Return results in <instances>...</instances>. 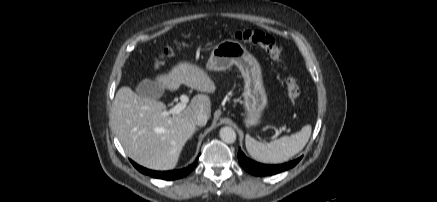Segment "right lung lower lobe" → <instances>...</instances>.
Wrapping results in <instances>:
<instances>
[{
	"instance_id": "right-lung-lower-lobe-1",
	"label": "right lung lower lobe",
	"mask_w": 437,
	"mask_h": 202,
	"mask_svg": "<svg viewBox=\"0 0 437 202\" xmlns=\"http://www.w3.org/2000/svg\"><path fill=\"white\" fill-rule=\"evenodd\" d=\"M131 163L134 165V167L137 170H139L143 174L150 175V176H152L154 178H158V179L174 180V179L182 178V177H185L186 175H188L196 167L197 159L194 163H192L191 165H189L186 168H183L180 170L163 171V172L146 169L142 166H139L138 164H136L132 160H131Z\"/></svg>"
}]
</instances>
